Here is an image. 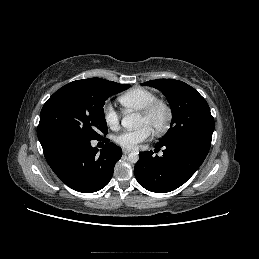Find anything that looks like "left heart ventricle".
Listing matches in <instances>:
<instances>
[{
  "instance_id": "left-heart-ventricle-1",
  "label": "left heart ventricle",
  "mask_w": 259,
  "mask_h": 259,
  "mask_svg": "<svg viewBox=\"0 0 259 259\" xmlns=\"http://www.w3.org/2000/svg\"><path fill=\"white\" fill-rule=\"evenodd\" d=\"M164 117L165 113L163 109H157L149 118H145L142 115H139L138 126H147L151 130H154L162 124Z\"/></svg>"
}]
</instances>
